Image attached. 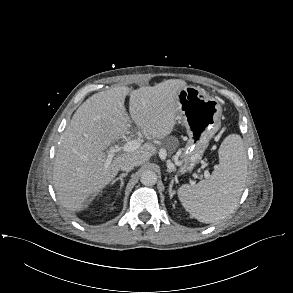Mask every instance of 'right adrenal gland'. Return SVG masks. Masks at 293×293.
Instances as JSON below:
<instances>
[{
    "label": "right adrenal gland",
    "mask_w": 293,
    "mask_h": 293,
    "mask_svg": "<svg viewBox=\"0 0 293 293\" xmlns=\"http://www.w3.org/2000/svg\"><path fill=\"white\" fill-rule=\"evenodd\" d=\"M128 175V173H122L119 177H117L116 179H114L112 182H111V186L114 185L117 181L120 180V188H119V191L122 189L123 185H124V177H126Z\"/></svg>",
    "instance_id": "1"
}]
</instances>
